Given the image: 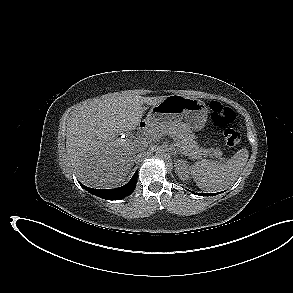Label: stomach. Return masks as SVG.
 <instances>
[{"instance_id":"0dacf381","label":"stomach","mask_w":293,"mask_h":293,"mask_svg":"<svg viewBox=\"0 0 293 293\" xmlns=\"http://www.w3.org/2000/svg\"><path fill=\"white\" fill-rule=\"evenodd\" d=\"M208 118V108L200 99L179 94L169 95L153 105L146 121L150 126L179 122L185 119L192 130H201Z\"/></svg>"}]
</instances>
